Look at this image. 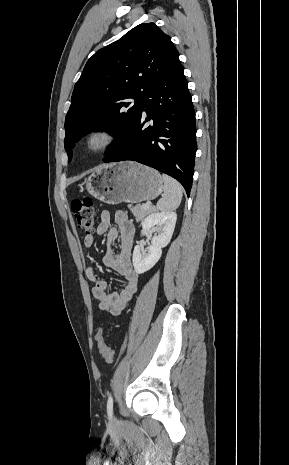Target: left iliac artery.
Listing matches in <instances>:
<instances>
[{"instance_id": "1", "label": "left iliac artery", "mask_w": 289, "mask_h": 465, "mask_svg": "<svg viewBox=\"0 0 289 465\" xmlns=\"http://www.w3.org/2000/svg\"><path fill=\"white\" fill-rule=\"evenodd\" d=\"M107 413L108 417L111 419L112 414H113V397L112 395H109L108 401H107Z\"/></svg>"}]
</instances>
